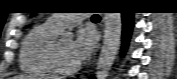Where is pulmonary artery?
Wrapping results in <instances>:
<instances>
[{
  "label": "pulmonary artery",
  "mask_w": 177,
  "mask_h": 79,
  "mask_svg": "<svg viewBox=\"0 0 177 79\" xmlns=\"http://www.w3.org/2000/svg\"><path fill=\"white\" fill-rule=\"evenodd\" d=\"M86 17H88V14H53L47 19V22L61 30L68 25L83 21Z\"/></svg>",
  "instance_id": "e3ab8cb5"
}]
</instances>
